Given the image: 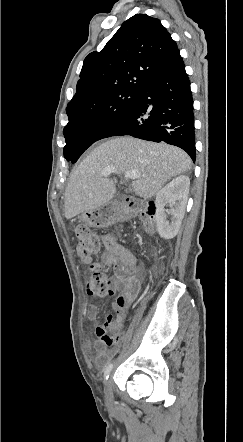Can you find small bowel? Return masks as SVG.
<instances>
[{
  "label": "small bowel",
  "instance_id": "c3829d8e",
  "mask_svg": "<svg viewBox=\"0 0 243 442\" xmlns=\"http://www.w3.org/2000/svg\"><path fill=\"white\" fill-rule=\"evenodd\" d=\"M102 243L105 249L102 259L112 266L114 273L109 281L110 286L113 292L118 291L120 294L113 302L115 315L107 314L103 325L96 324L98 314L96 305L90 304L86 310L87 319L94 323L93 362L98 368L105 367L111 358L107 347L121 340V329L126 311L136 299L142 285L140 269L133 253L118 244L110 235H103Z\"/></svg>",
  "mask_w": 243,
  "mask_h": 442
}]
</instances>
